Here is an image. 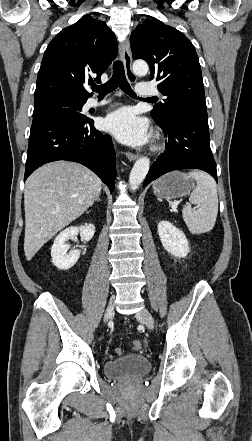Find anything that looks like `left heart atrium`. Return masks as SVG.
<instances>
[{"label": "left heart atrium", "mask_w": 252, "mask_h": 441, "mask_svg": "<svg viewBox=\"0 0 252 441\" xmlns=\"http://www.w3.org/2000/svg\"><path fill=\"white\" fill-rule=\"evenodd\" d=\"M105 127L128 145H143L150 139L147 122L130 107L118 109L108 115L105 119Z\"/></svg>", "instance_id": "39dd6f15"}]
</instances>
